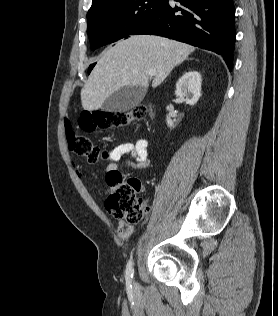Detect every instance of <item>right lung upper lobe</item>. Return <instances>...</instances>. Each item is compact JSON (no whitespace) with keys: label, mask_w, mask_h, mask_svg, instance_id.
<instances>
[{"label":"right lung upper lobe","mask_w":278,"mask_h":316,"mask_svg":"<svg viewBox=\"0 0 278 316\" xmlns=\"http://www.w3.org/2000/svg\"><path fill=\"white\" fill-rule=\"evenodd\" d=\"M106 1H108V0H93V3H92L91 8L94 7V6H96V5L101 4V3H103V2H106Z\"/></svg>","instance_id":"right-lung-upper-lobe-1"}]
</instances>
